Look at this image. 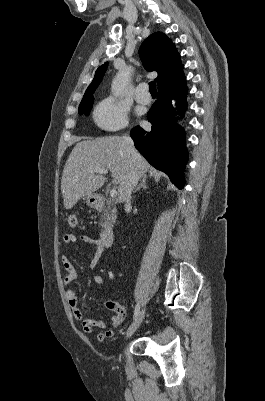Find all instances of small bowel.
I'll use <instances>...</instances> for the list:
<instances>
[{
  "mask_svg": "<svg viewBox=\"0 0 265 401\" xmlns=\"http://www.w3.org/2000/svg\"><path fill=\"white\" fill-rule=\"evenodd\" d=\"M77 239V236L74 234H66L63 237V242L65 244H73L77 241ZM79 240L93 247L95 252L93 258L88 262V267L95 268L102 257L104 246L99 239L92 238L91 236L85 234L80 235ZM61 263L64 269L63 283L64 285H69L77 278V271L67 255H63L61 257ZM93 281L96 284L100 285L105 283L104 278L100 275H94ZM65 297L72 310L74 318L81 325L82 330L85 334H91L96 328L105 329L106 324L103 320L89 319L84 316L83 312L78 307V296L74 290L68 289L65 292ZM108 307L115 312L114 315L111 316V322L113 327L117 328L124 321L126 317V311L119 304L109 303ZM113 335L114 332L112 330H107L99 333L97 339L99 342H103L105 340L111 339Z\"/></svg>",
  "mask_w": 265,
  "mask_h": 401,
  "instance_id": "obj_1",
  "label": "small bowel"
}]
</instances>
